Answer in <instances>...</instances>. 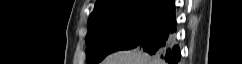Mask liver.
<instances>
[{"label": "liver", "mask_w": 242, "mask_h": 64, "mask_svg": "<svg viewBox=\"0 0 242 64\" xmlns=\"http://www.w3.org/2000/svg\"><path fill=\"white\" fill-rule=\"evenodd\" d=\"M160 62L159 59L152 58L139 49H134L113 53L102 64H160Z\"/></svg>", "instance_id": "liver-1"}]
</instances>
